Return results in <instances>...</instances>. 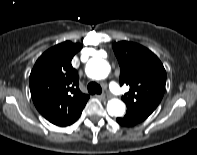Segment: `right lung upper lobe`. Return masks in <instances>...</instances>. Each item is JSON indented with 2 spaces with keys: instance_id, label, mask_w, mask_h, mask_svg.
Here are the masks:
<instances>
[{
  "instance_id": "1",
  "label": "right lung upper lobe",
  "mask_w": 197,
  "mask_h": 155,
  "mask_svg": "<svg viewBox=\"0 0 197 155\" xmlns=\"http://www.w3.org/2000/svg\"><path fill=\"white\" fill-rule=\"evenodd\" d=\"M81 48V44L70 41L53 46L38 58L30 74L35 107L58 126L74 123L89 99L79 90L78 73L71 65L73 56Z\"/></svg>"
}]
</instances>
